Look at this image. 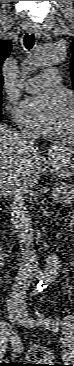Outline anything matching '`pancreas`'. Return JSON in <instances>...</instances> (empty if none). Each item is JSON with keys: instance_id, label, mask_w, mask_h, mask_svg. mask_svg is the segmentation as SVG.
<instances>
[{"instance_id": "pancreas-1", "label": "pancreas", "mask_w": 74, "mask_h": 366, "mask_svg": "<svg viewBox=\"0 0 74 366\" xmlns=\"http://www.w3.org/2000/svg\"><path fill=\"white\" fill-rule=\"evenodd\" d=\"M56 191H59V193H61L63 195V199L67 202H71L73 201L74 198V190H73V186L70 184H57L56 185Z\"/></svg>"}]
</instances>
